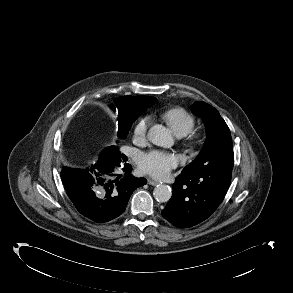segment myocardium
I'll use <instances>...</instances> for the list:
<instances>
[{"label": "myocardium", "instance_id": "f54148a6", "mask_svg": "<svg viewBox=\"0 0 293 293\" xmlns=\"http://www.w3.org/2000/svg\"><path fill=\"white\" fill-rule=\"evenodd\" d=\"M202 138V132H192L189 134L187 142L190 146H195L201 142Z\"/></svg>", "mask_w": 293, "mask_h": 293}]
</instances>
